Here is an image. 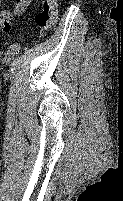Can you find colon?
I'll return each mask as SVG.
<instances>
[{
	"mask_svg": "<svg viewBox=\"0 0 123 201\" xmlns=\"http://www.w3.org/2000/svg\"><path fill=\"white\" fill-rule=\"evenodd\" d=\"M58 14V0H43L41 9L36 13L34 20L39 34L43 37L51 31L56 22Z\"/></svg>",
	"mask_w": 123,
	"mask_h": 201,
	"instance_id": "5ec220e1",
	"label": "colon"
}]
</instances>
